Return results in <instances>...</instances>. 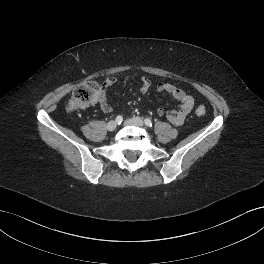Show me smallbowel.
Wrapping results in <instances>:
<instances>
[{"label": "small bowel", "mask_w": 264, "mask_h": 264, "mask_svg": "<svg viewBox=\"0 0 264 264\" xmlns=\"http://www.w3.org/2000/svg\"><path fill=\"white\" fill-rule=\"evenodd\" d=\"M116 84V79L113 77L107 78L101 86V94L97 100L101 110L103 112H110L112 106L107 100V92ZM152 86V81L149 78L143 77L140 82V91L145 94ZM159 92H166L170 94L174 99L179 101L180 105L177 109L166 112L163 108L157 109L159 116L166 115L167 119L176 126L181 125L188 114L191 112L195 105V100L192 96L188 95L184 90L176 87L175 85L167 82H160L156 85Z\"/></svg>", "instance_id": "obj_1"}]
</instances>
